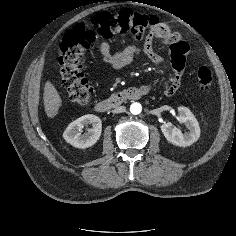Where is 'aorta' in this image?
I'll return each mask as SVG.
<instances>
[{
	"label": "aorta",
	"instance_id": "762f6f07",
	"mask_svg": "<svg viewBox=\"0 0 236 236\" xmlns=\"http://www.w3.org/2000/svg\"><path fill=\"white\" fill-rule=\"evenodd\" d=\"M142 111V105L138 102H134L130 105V112L133 114V115H138L140 114Z\"/></svg>",
	"mask_w": 236,
	"mask_h": 236
}]
</instances>
